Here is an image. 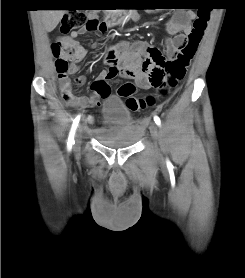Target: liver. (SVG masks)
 <instances>
[{
    "mask_svg": "<svg viewBox=\"0 0 245 278\" xmlns=\"http://www.w3.org/2000/svg\"><path fill=\"white\" fill-rule=\"evenodd\" d=\"M66 10H42L41 19L47 32L53 31L61 21Z\"/></svg>",
    "mask_w": 245,
    "mask_h": 278,
    "instance_id": "6515ba94",
    "label": "liver"
}]
</instances>
